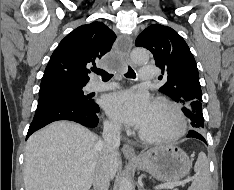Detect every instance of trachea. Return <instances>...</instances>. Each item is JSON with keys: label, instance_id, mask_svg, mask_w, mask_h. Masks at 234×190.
Wrapping results in <instances>:
<instances>
[{"label": "trachea", "instance_id": "trachea-1", "mask_svg": "<svg viewBox=\"0 0 234 190\" xmlns=\"http://www.w3.org/2000/svg\"><path fill=\"white\" fill-rule=\"evenodd\" d=\"M94 72L96 74L100 75L103 81H108V80H110L113 77V74H110V73H108L105 70L96 69V70H94ZM125 76L127 78H135L136 74L133 71V69L131 67H129L127 73L125 74Z\"/></svg>", "mask_w": 234, "mask_h": 190}]
</instances>
